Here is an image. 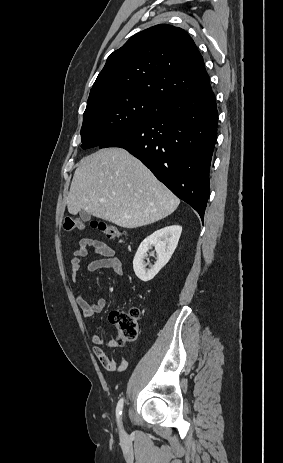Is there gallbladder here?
<instances>
[{"label": "gallbladder", "instance_id": "gallbladder-1", "mask_svg": "<svg viewBox=\"0 0 283 463\" xmlns=\"http://www.w3.org/2000/svg\"><path fill=\"white\" fill-rule=\"evenodd\" d=\"M79 215H80V218H81L83 221H89L90 218H91L90 213H88V212H86V211H84V210H80Z\"/></svg>", "mask_w": 283, "mask_h": 463}]
</instances>
